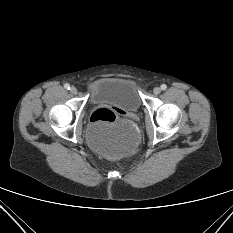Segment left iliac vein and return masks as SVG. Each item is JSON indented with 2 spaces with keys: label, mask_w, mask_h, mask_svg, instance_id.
I'll return each mask as SVG.
<instances>
[{
  "label": "left iliac vein",
  "mask_w": 233,
  "mask_h": 233,
  "mask_svg": "<svg viewBox=\"0 0 233 233\" xmlns=\"http://www.w3.org/2000/svg\"><path fill=\"white\" fill-rule=\"evenodd\" d=\"M160 92H161V89H160L159 87H155V88L153 89V94H154V95H158Z\"/></svg>",
  "instance_id": "left-iliac-vein-1"
}]
</instances>
